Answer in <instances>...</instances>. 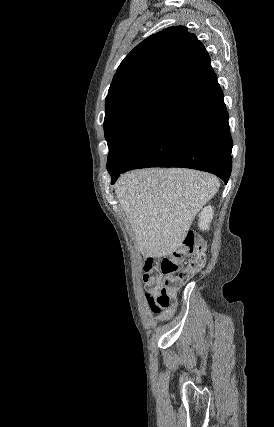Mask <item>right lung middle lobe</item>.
I'll return each mask as SVG.
<instances>
[{
    "instance_id": "obj_1",
    "label": "right lung middle lobe",
    "mask_w": 274,
    "mask_h": 427,
    "mask_svg": "<svg viewBox=\"0 0 274 427\" xmlns=\"http://www.w3.org/2000/svg\"><path fill=\"white\" fill-rule=\"evenodd\" d=\"M175 101L166 95L150 94L106 111L104 132L109 147L107 166L127 163Z\"/></svg>"
}]
</instances>
